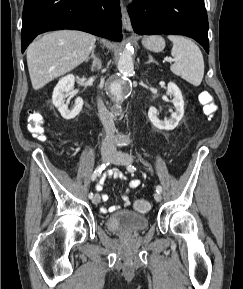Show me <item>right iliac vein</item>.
<instances>
[{
  "label": "right iliac vein",
  "mask_w": 243,
  "mask_h": 289,
  "mask_svg": "<svg viewBox=\"0 0 243 289\" xmlns=\"http://www.w3.org/2000/svg\"><path fill=\"white\" fill-rule=\"evenodd\" d=\"M113 157V154L110 151H102L101 153V159L103 162H107L109 160H111ZM100 195L99 194H95L94 197L92 198V203L97 205L100 202Z\"/></svg>",
  "instance_id": "right-iliac-vein-1"
}]
</instances>
